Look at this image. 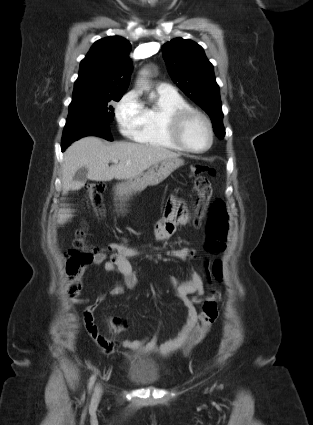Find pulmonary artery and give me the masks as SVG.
<instances>
[{
  "mask_svg": "<svg viewBox=\"0 0 313 425\" xmlns=\"http://www.w3.org/2000/svg\"><path fill=\"white\" fill-rule=\"evenodd\" d=\"M158 90H161L163 92H168V93L175 92L174 88L167 83H160L158 86Z\"/></svg>",
  "mask_w": 313,
  "mask_h": 425,
  "instance_id": "pulmonary-artery-1",
  "label": "pulmonary artery"
}]
</instances>
